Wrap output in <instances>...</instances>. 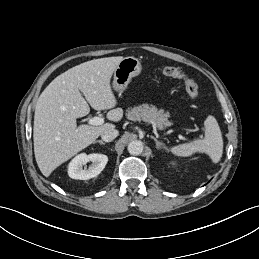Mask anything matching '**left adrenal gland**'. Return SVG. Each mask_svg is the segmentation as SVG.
I'll list each match as a JSON object with an SVG mask.
<instances>
[{
    "label": "left adrenal gland",
    "mask_w": 259,
    "mask_h": 259,
    "mask_svg": "<svg viewBox=\"0 0 259 259\" xmlns=\"http://www.w3.org/2000/svg\"><path fill=\"white\" fill-rule=\"evenodd\" d=\"M150 138H152L155 141L157 148H163L162 143L160 141H158V139L156 137L151 135Z\"/></svg>",
    "instance_id": "obj_1"
}]
</instances>
